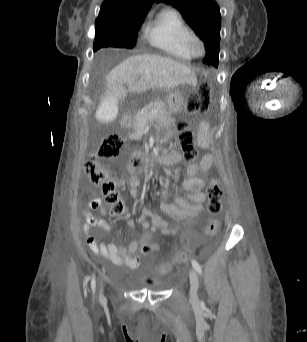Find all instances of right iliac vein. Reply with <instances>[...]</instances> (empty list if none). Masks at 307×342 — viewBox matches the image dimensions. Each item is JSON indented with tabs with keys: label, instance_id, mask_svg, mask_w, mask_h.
<instances>
[{
	"label": "right iliac vein",
	"instance_id": "right-iliac-vein-1",
	"mask_svg": "<svg viewBox=\"0 0 307 342\" xmlns=\"http://www.w3.org/2000/svg\"><path fill=\"white\" fill-rule=\"evenodd\" d=\"M102 295H103V293H102V289L100 290V297L102 298Z\"/></svg>",
	"mask_w": 307,
	"mask_h": 342
}]
</instances>
